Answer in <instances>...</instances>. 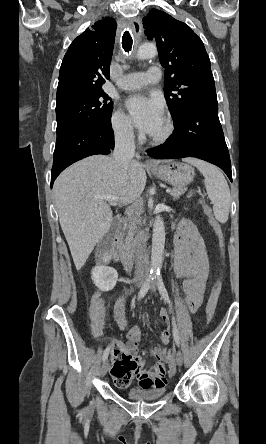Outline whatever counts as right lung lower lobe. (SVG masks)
<instances>
[{"mask_svg": "<svg viewBox=\"0 0 266 444\" xmlns=\"http://www.w3.org/2000/svg\"><path fill=\"white\" fill-rule=\"evenodd\" d=\"M114 148L111 123L77 131L56 144L51 171V187L69 165L95 154H109Z\"/></svg>", "mask_w": 266, "mask_h": 444, "instance_id": "98d812e1", "label": "right lung lower lobe"}]
</instances>
